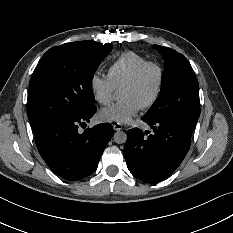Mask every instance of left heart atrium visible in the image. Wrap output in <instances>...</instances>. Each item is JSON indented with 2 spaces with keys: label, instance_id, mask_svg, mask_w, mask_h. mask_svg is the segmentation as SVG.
Segmentation results:
<instances>
[{
  "label": "left heart atrium",
  "instance_id": "obj_1",
  "mask_svg": "<svg viewBox=\"0 0 233 233\" xmlns=\"http://www.w3.org/2000/svg\"><path fill=\"white\" fill-rule=\"evenodd\" d=\"M143 105L134 98H125L107 108L99 111V118L103 121L116 123H128L141 109Z\"/></svg>",
  "mask_w": 233,
  "mask_h": 233
}]
</instances>
